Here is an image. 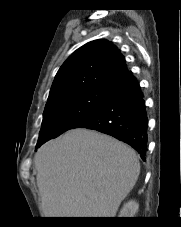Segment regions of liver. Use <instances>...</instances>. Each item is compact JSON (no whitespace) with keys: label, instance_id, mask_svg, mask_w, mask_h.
I'll return each mask as SVG.
<instances>
[{"label":"liver","instance_id":"liver-1","mask_svg":"<svg viewBox=\"0 0 181 227\" xmlns=\"http://www.w3.org/2000/svg\"><path fill=\"white\" fill-rule=\"evenodd\" d=\"M34 159L45 217H115L140 173L131 147L84 128L48 141Z\"/></svg>","mask_w":181,"mask_h":227}]
</instances>
